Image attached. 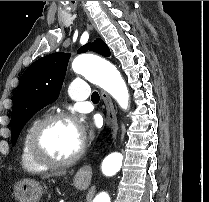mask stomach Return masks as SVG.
Instances as JSON below:
<instances>
[{"mask_svg": "<svg viewBox=\"0 0 209 202\" xmlns=\"http://www.w3.org/2000/svg\"><path fill=\"white\" fill-rule=\"evenodd\" d=\"M74 184L78 189L84 190L89 186V181L76 176ZM44 191L39 182L31 179L20 180L13 188L14 197L18 202H38Z\"/></svg>", "mask_w": 209, "mask_h": 202, "instance_id": "stomach-1", "label": "stomach"}]
</instances>
